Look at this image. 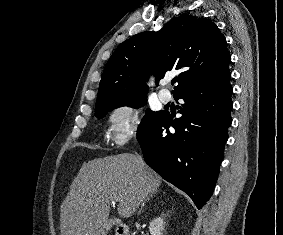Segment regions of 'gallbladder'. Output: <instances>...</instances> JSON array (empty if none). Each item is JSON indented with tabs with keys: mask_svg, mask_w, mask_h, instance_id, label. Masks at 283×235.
Returning <instances> with one entry per match:
<instances>
[{
	"mask_svg": "<svg viewBox=\"0 0 283 235\" xmlns=\"http://www.w3.org/2000/svg\"><path fill=\"white\" fill-rule=\"evenodd\" d=\"M110 222L112 223V225L117 224V220L115 218L111 219Z\"/></svg>",
	"mask_w": 283,
	"mask_h": 235,
	"instance_id": "1",
	"label": "gallbladder"
}]
</instances>
